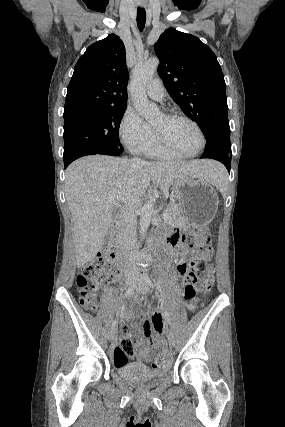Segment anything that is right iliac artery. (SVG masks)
<instances>
[{"instance_id":"obj_1","label":"right iliac artery","mask_w":285,"mask_h":427,"mask_svg":"<svg viewBox=\"0 0 285 427\" xmlns=\"http://www.w3.org/2000/svg\"><path fill=\"white\" fill-rule=\"evenodd\" d=\"M133 291H134V286L129 287V288L127 289V291L125 292L124 298H125V299H126V298H128V297L133 293ZM116 324H117V321H116V320H114V321L112 322V325H111L112 329H114V328H115Z\"/></svg>"}]
</instances>
